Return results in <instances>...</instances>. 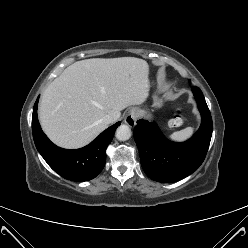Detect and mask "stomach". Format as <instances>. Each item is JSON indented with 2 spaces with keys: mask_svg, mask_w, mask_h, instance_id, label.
<instances>
[{
  "mask_svg": "<svg viewBox=\"0 0 248 248\" xmlns=\"http://www.w3.org/2000/svg\"><path fill=\"white\" fill-rule=\"evenodd\" d=\"M161 103H162V102H161L160 100H156V102H155V104H154V105H155V106H160V105H161Z\"/></svg>",
  "mask_w": 248,
  "mask_h": 248,
  "instance_id": "0dacf381",
  "label": "stomach"
}]
</instances>
